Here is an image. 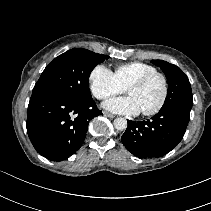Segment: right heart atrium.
<instances>
[{"label": "right heart atrium", "instance_id": "1", "mask_svg": "<svg viewBox=\"0 0 211 211\" xmlns=\"http://www.w3.org/2000/svg\"><path fill=\"white\" fill-rule=\"evenodd\" d=\"M89 87L97 99H105L124 91L115 74L103 64H98L91 70Z\"/></svg>", "mask_w": 211, "mask_h": 211}]
</instances>
